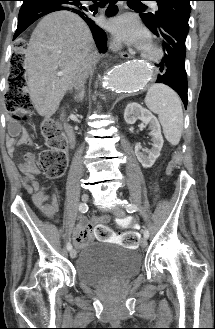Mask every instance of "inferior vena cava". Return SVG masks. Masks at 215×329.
Segmentation results:
<instances>
[{
    "label": "inferior vena cava",
    "instance_id": "obj_1",
    "mask_svg": "<svg viewBox=\"0 0 215 329\" xmlns=\"http://www.w3.org/2000/svg\"><path fill=\"white\" fill-rule=\"evenodd\" d=\"M94 65H95V53H92L86 57V59L83 61L79 69V72L74 82L75 89L80 91L84 87L86 79L88 78Z\"/></svg>",
    "mask_w": 215,
    "mask_h": 329
}]
</instances>
